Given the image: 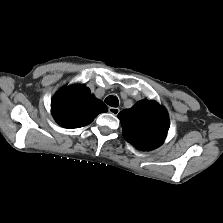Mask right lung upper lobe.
I'll use <instances>...</instances> for the list:
<instances>
[{
	"mask_svg": "<svg viewBox=\"0 0 223 223\" xmlns=\"http://www.w3.org/2000/svg\"><path fill=\"white\" fill-rule=\"evenodd\" d=\"M107 111L106 105L96 99L83 84L59 91L51 102V112L58 124L66 128H79L91 123Z\"/></svg>",
	"mask_w": 223,
	"mask_h": 223,
	"instance_id": "right-lung-upper-lobe-1",
	"label": "right lung upper lobe"
}]
</instances>
